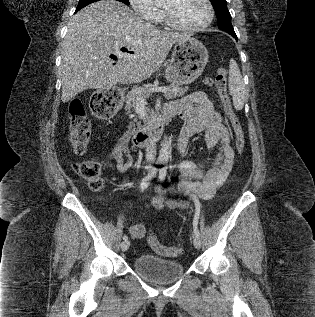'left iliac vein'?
I'll return each instance as SVG.
<instances>
[{
	"label": "left iliac vein",
	"mask_w": 315,
	"mask_h": 317,
	"mask_svg": "<svg viewBox=\"0 0 315 317\" xmlns=\"http://www.w3.org/2000/svg\"><path fill=\"white\" fill-rule=\"evenodd\" d=\"M193 244L195 246V248L200 249L201 248V240L199 237L194 236L193 237Z\"/></svg>",
	"instance_id": "1"
}]
</instances>
